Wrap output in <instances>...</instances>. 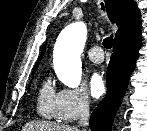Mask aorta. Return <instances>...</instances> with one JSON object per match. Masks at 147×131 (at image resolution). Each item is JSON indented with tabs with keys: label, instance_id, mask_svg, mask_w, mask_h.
<instances>
[{
	"label": "aorta",
	"instance_id": "762f6f07",
	"mask_svg": "<svg viewBox=\"0 0 147 131\" xmlns=\"http://www.w3.org/2000/svg\"><path fill=\"white\" fill-rule=\"evenodd\" d=\"M87 38L86 25L76 22L59 35L54 48V69L59 80L70 88H77L82 78L80 55Z\"/></svg>",
	"mask_w": 147,
	"mask_h": 131
}]
</instances>
